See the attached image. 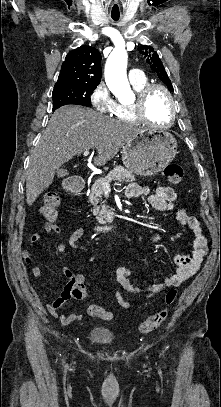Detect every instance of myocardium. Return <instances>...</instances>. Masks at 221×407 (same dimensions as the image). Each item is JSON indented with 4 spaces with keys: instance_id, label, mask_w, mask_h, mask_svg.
<instances>
[{
    "instance_id": "obj_1",
    "label": "myocardium",
    "mask_w": 221,
    "mask_h": 407,
    "mask_svg": "<svg viewBox=\"0 0 221 407\" xmlns=\"http://www.w3.org/2000/svg\"><path fill=\"white\" fill-rule=\"evenodd\" d=\"M156 90L162 91L166 95V97L170 103V106H171L170 119L167 124H164L161 126H155L153 124V122L148 118L147 113H146V105H147L148 99H149L150 95ZM133 108H134V113L139 121H142L143 123H146L148 125H152L158 129L170 128L174 124L175 119H176V109H177L176 102H175L171 92L165 86L160 85V84H149L146 87H144L140 92H138L136 99L133 103Z\"/></svg>"
}]
</instances>
